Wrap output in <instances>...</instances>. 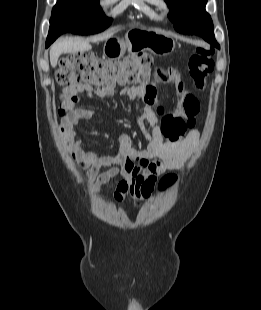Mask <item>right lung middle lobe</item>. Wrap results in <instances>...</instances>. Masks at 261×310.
Masks as SVG:
<instances>
[{"label":"right lung middle lobe","mask_w":261,"mask_h":310,"mask_svg":"<svg viewBox=\"0 0 261 310\" xmlns=\"http://www.w3.org/2000/svg\"><path fill=\"white\" fill-rule=\"evenodd\" d=\"M105 17L99 0H57L52 10L48 35L56 32L95 34L111 24Z\"/></svg>","instance_id":"obj_1"}]
</instances>
